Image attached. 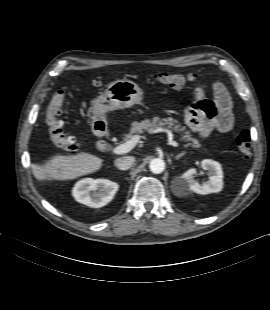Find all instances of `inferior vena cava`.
<instances>
[{
  "instance_id": "obj_1",
  "label": "inferior vena cava",
  "mask_w": 270,
  "mask_h": 310,
  "mask_svg": "<svg viewBox=\"0 0 270 310\" xmlns=\"http://www.w3.org/2000/svg\"><path fill=\"white\" fill-rule=\"evenodd\" d=\"M134 157L132 156H124L121 158H118L114 161L115 166L120 169V170H128L129 168L132 167L134 164Z\"/></svg>"
}]
</instances>
